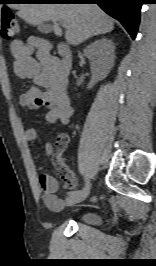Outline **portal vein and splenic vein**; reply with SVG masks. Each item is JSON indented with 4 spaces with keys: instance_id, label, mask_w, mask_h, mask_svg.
Returning a JSON list of instances; mask_svg holds the SVG:
<instances>
[{
    "instance_id": "1",
    "label": "portal vein and splenic vein",
    "mask_w": 156,
    "mask_h": 266,
    "mask_svg": "<svg viewBox=\"0 0 156 266\" xmlns=\"http://www.w3.org/2000/svg\"><path fill=\"white\" fill-rule=\"evenodd\" d=\"M60 24H61L63 27H66V24H65L63 21H60Z\"/></svg>"
}]
</instances>
